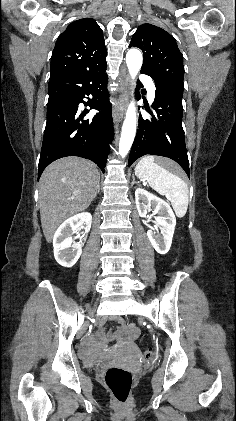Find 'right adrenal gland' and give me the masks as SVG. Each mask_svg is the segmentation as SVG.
<instances>
[{
    "mask_svg": "<svg viewBox=\"0 0 236 421\" xmlns=\"http://www.w3.org/2000/svg\"><path fill=\"white\" fill-rule=\"evenodd\" d=\"M97 192H100V184H99V182H98V184H97V190H96V192H95V196H96ZM95 196H94V198H95Z\"/></svg>",
    "mask_w": 236,
    "mask_h": 421,
    "instance_id": "1",
    "label": "right adrenal gland"
}]
</instances>
